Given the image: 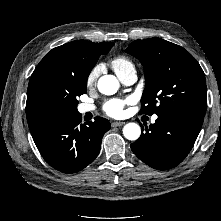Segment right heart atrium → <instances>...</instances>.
I'll use <instances>...</instances> for the list:
<instances>
[{
  "mask_svg": "<svg viewBox=\"0 0 221 221\" xmlns=\"http://www.w3.org/2000/svg\"><path fill=\"white\" fill-rule=\"evenodd\" d=\"M99 73H100V66L99 65H96L91 69V71L89 72V74L87 75V78H86V86L87 87L95 86V84L97 82V78L99 76Z\"/></svg>",
  "mask_w": 221,
  "mask_h": 221,
  "instance_id": "1",
  "label": "right heart atrium"
}]
</instances>
